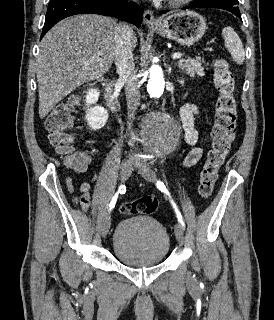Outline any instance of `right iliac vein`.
<instances>
[{"instance_id": "63e3f726", "label": "right iliac vein", "mask_w": 274, "mask_h": 320, "mask_svg": "<svg viewBox=\"0 0 274 320\" xmlns=\"http://www.w3.org/2000/svg\"><path fill=\"white\" fill-rule=\"evenodd\" d=\"M132 163H133L132 160H127L121 164L119 174H120V179L122 181L127 180L128 177L130 176ZM110 226H111V217L110 215H107L103 220V224H102L103 237H106L107 234L109 233Z\"/></svg>"}]
</instances>
